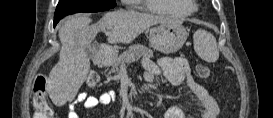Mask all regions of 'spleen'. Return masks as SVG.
<instances>
[{
    "instance_id": "1",
    "label": "spleen",
    "mask_w": 273,
    "mask_h": 118,
    "mask_svg": "<svg viewBox=\"0 0 273 118\" xmlns=\"http://www.w3.org/2000/svg\"><path fill=\"white\" fill-rule=\"evenodd\" d=\"M194 50L198 56L209 63L216 62L219 50L215 37L206 30L199 29L194 33Z\"/></svg>"
}]
</instances>
